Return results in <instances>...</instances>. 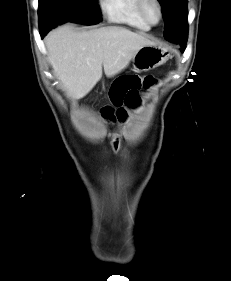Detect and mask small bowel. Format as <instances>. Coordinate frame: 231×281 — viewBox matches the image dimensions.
I'll return each instance as SVG.
<instances>
[{
  "label": "small bowel",
  "instance_id": "small-bowel-1",
  "mask_svg": "<svg viewBox=\"0 0 231 281\" xmlns=\"http://www.w3.org/2000/svg\"><path fill=\"white\" fill-rule=\"evenodd\" d=\"M157 79L153 75L124 73L117 76L109 88L110 105L102 108V115L109 119L126 121L129 109H136L142 101V90L156 86Z\"/></svg>",
  "mask_w": 231,
  "mask_h": 281
}]
</instances>
